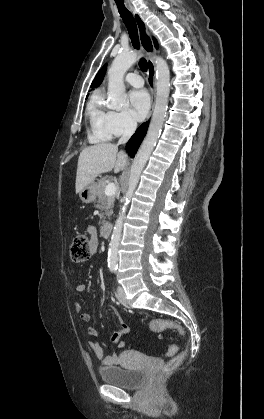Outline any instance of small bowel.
Here are the masks:
<instances>
[{
    "mask_svg": "<svg viewBox=\"0 0 264 419\" xmlns=\"http://www.w3.org/2000/svg\"><path fill=\"white\" fill-rule=\"evenodd\" d=\"M87 230L90 235L91 248L94 251L98 243L97 231L94 226H89ZM86 288L87 286L84 283H79L76 285L75 290L78 293H82L86 290ZM75 309L79 313L80 319L83 322L89 323L91 321V315L88 312L83 311L81 304L76 303ZM87 331H88V334L92 337H97L98 335V331L92 326H89L87 328ZM128 332H129L128 326L122 320H120V330L115 332L112 336V341L116 344L118 348H123L125 346L123 337ZM89 344L92 350L94 351V353L96 354V356L99 358L102 366L108 367V366L118 365L121 363L120 355H117V354L106 355L104 353L103 347L98 341L92 340L90 341Z\"/></svg>",
    "mask_w": 264,
    "mask_h": 419,
    "instance_id": "1",
    "label": "small bowel"
}]
</instances>
